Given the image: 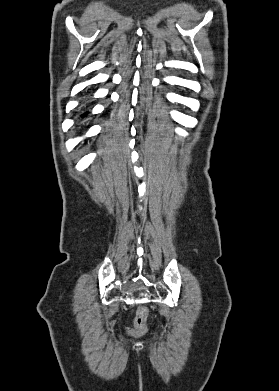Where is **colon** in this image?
I'll use <instances>...</instances> for the list:
<instances>
[{
	"label": "colon",
	"mask_w": 279,
	"mask_h": 391,
	"mask_svg": "<svg viewBox=\"0 0 279 391\" xmlns=\"http://www.w3.org/2000/svg\"><path fill=\"white\" fill-rule=\"evenodd\" d=\"M147 317H148V309L145 306H142L138 309L135 324H134V332L137 334H141L145 332L147 325Z\"/></svg>",
	"instance_id": "colon-1"
}]
</instances>
